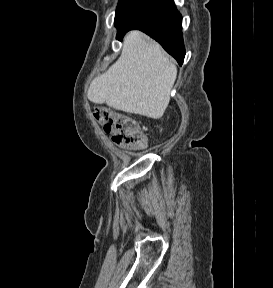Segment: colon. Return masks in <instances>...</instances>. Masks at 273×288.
<instances>
[{
  "label": "colon",
  "instance_id": "1",
  "mask_svg": "<svg viewBox=\"0 0 273 288\" xmlns=\"http://www.w3.org/2000/svg\"><path fill=\"white\" fill-rule=\"evenodd\" d=\"M93 116L111 134L117 146L130 149L145 146L146 136L134 118L102 106L94 108Z\"/></svg>",
  "mask_w": 273,
  "mask_h": 288
}]
</instances>
